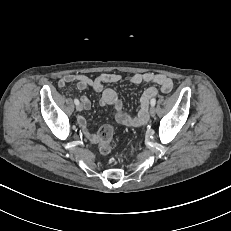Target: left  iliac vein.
Segmentation results:
<instances>
[{"mask_svg":"<svg viewBox=\"0 0 231 231\" xmlns=\"http://www.w3.org/2000/svg\"><path fill=\"white\" fill-rule=\"evenodd\" d=\"M155 113H156L155 108H154V107H151V108H150V115H151L152 117H154V116H155Z\"/></svg>","mask_w":231,"mask_h":231,"instance_id":"obj_1","label":"left iliac vein"}]
</instances>
